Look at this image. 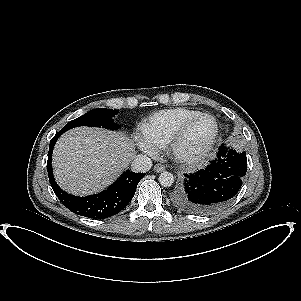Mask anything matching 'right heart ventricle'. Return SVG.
<instances>
[{
  "label": "right heart ventricle",
  "mask_w": 301,
  "mask_h": 301,
  "mask_svg": "<svg viewBox=\"0 0 301 301\" xmlns=\"http://www.w3.org/2000/svg\"><path fill=\"white\" fill-rule=\"evenodd\" d=\"M201 112L188 108L164 109L151 114L142 124L141 130L157 148L166 147L177 129L188 119Z\"/></svg>",
  "instance_id": "right-heart-ventricle-1"
}]
</instances>
